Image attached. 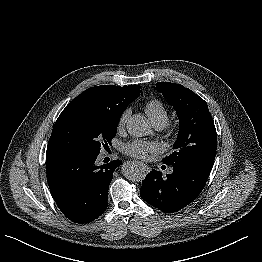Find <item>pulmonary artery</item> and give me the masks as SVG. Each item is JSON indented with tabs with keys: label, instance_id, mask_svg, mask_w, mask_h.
I'll list each match as a JSON object with an SVG mask.
<instances>
[{
	"label": "pulmonary artery",
	"instance_id": "pulmonary-artery-1",
	"mask_svg": "<svg viewBox=\"0 0 262 262\" xmlns=\"http://www.w3.org/2000/svg\"><path fill=\"white\" fill-rule=\"evenodd\" d=\"M158 130H160V129H162L163 128V126H161V125H157V126H155ZM173 172V169H170L169 171H168V173H172Z\"/></svg>",
	"mask_w": 262,
	"mask_h": 262
}]
</instances>
